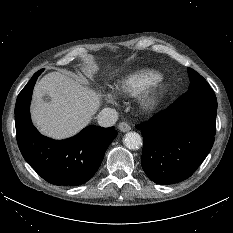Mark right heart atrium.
<instances>
[{"mask_svg": "<svg viewBox=\"0 0 233 233\" xmlns=\"http://www.w3.org/2000/svg\"><path fill=\"white\" fill-rule=\"evenodd\" d=\"M105 98L109 102H113L114 101V95H113V93H106L105 94Z\"/></svg>", "mask_w": 233, "mask_h": 233, "instance_id": "obj_1", "label": "right heart atrium"}]
</instances>
